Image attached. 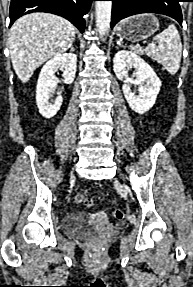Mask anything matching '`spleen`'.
I'll return each instance as SVG.
<instances>
[{
  "instance_id": "1",
  "label": "spleen",
  "mask_w": 193,
  "mask_h": 287,
  "mask_svg": "<svg viewBox=\"0 0 193 287\" xmlns=\"http://www.w3.org/2000/svg\"><path fill=\"white\" fill-rule=\"evenodd\" d=\"M154 41L158 46L151 44L145 49L146 54L174 75L180 67L182 56V43L177 28L169 24L164 31L154 37Z\"/></svg>"
}]
</instances>
